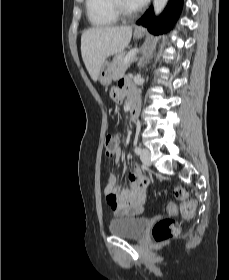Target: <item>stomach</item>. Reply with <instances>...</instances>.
Masks as SVG:
<instances>
[{"instance_id":"obj_1","label":"stomach","mask_w":229,"mask_h":280,"mask_svg":"<svg viewBox=\"0 0 229 280\" xmlns=\"http://www.w3.org/2000/svg\"><path fill=\"white\" fill-rule=\"evenodd\" d=\"M143 36V32H134V37L141 38ZM98 79L100 83L104 86H109L112 82V72H111V64L108 61H105L103 66L100 69Z\"/></svg>"}]
</instances>
